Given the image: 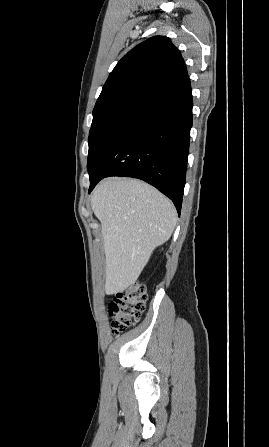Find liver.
<instances>
[{
    "label": "liver",
    "mask_w": 269,
    "mask_h": 447,
    "mask_svg": "<svg viewBox=\"0 0 269 447\" xmlns=\"http://www.w3.org/2000/svg\"><path fill=\"white\" fill-rule=\"evenodd\" d=\"M91 206L102 225L105 293L124 291L135 283L155 247L171 237L176 210L156 188L127 178L100 182Z\"/></svg>",
    "instance_id": "obj_1"
}]
</instances>
